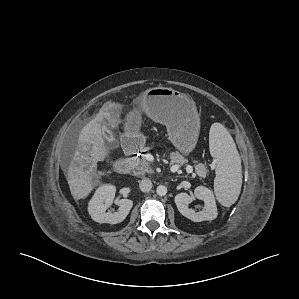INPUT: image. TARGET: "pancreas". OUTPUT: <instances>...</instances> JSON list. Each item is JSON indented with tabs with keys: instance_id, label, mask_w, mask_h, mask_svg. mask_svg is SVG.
I'll return each mask as SVG.
<instances>
[{
	"instance_id": "pancreas-1",
	"label": "pancreas",
	"mask_w": 299,
	"mask_h": 299,
	"mask_svg": "<svg viewBox=\"0 0 299 299\" xmlns=\"http://www.w3.org/2000/svg\"><path fill=\"white\" fill-rule=\"evenodd\" d=\"M148 150V148L146 149ZM171 164L183 165L187 160L179 153L172 152L170 154ZM130 163L132 166V172L135 176H144L145 174L153 173V170L150 167V163L145 159V157L141 158H131ZM195 171L200 176H205L207 170L205 166L201 163L195 166Z\"/></svg>"
}]
</instances>
